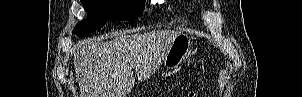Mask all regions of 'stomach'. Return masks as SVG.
I'll return each instance as SVG.
<instances>
[{
  "label": "stomach",
  "instance_id": "1",
  "mask_svg": "<svg viewBox=\"0 0 302 97\" xmlns=\"http://www.w3.org/2000/svg\"><path fill=\"white\" fill-rule=\"evenodd\" d=\"M192 43L185 34H180L171 43L164 59L163 65L167 70L177 69L191 52Z\"/></svg>",
  "mask_w": 302,
  "mask_h": 97
}]
</instances>
